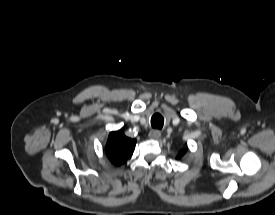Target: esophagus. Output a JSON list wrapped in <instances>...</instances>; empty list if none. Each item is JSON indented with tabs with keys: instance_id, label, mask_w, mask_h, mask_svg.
Wrapping results in <instances>:
<instances>
[{
	"instance_id": "34e87169",
	"label": "esophagus",
	"mask_w": 275,
	"mask_h": 215,
	"mask_svg": "<svg viewBox=\"0 0 275 215\" xmlns=\"http://www.w3.org/2000/svg\"><path fill=\"white\" fill-rule=\"evenodd\" d=\"M160 137H161V132L159 130L154 129L149 132V138L151 139L157 140Z\"/></svg>"
}]
</instances>
